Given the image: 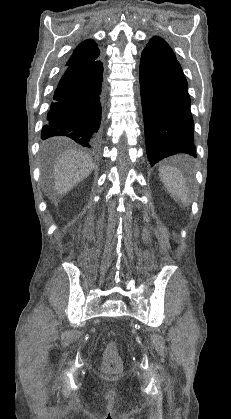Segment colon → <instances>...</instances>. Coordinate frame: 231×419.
Returning a JSON list of instances; mask_svg holds the SVG:
<instances>
[{
  "label": "colon",
  "instance_id": "5ec220e1",
  "mask_svg": "<svg viewBox=\"0 0 231 419\" xmlns=\"http://www.w3.org/2000/svg\"><path fill=\"white\" fill-rule=\"evenodd\" d=\"M121 368V359L114 343H110L104 356L103 369L107 373H115Z\"/></svg>",
  "mask_w": 231,
  "mask_h": 419
}]
</instances>
